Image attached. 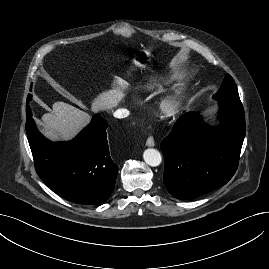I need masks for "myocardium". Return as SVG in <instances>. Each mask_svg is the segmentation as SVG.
I'll return each mask as SVG.
<instances>
[{"label":"myocardium","mask_w":269,"mask_h":269,"mask_svg":"<svg viewBox=\"0 0 269 269\" xmlns=\"http://www.w3.org/2000/svg\"><path fill=\"white\" fill-rule=\"evenodd\" d=\"M158 110L162 118L173 119L180 111V102L175 98H166L159 102Z\"/></svg>","instance_id":"obj_1"}]
</instances>
